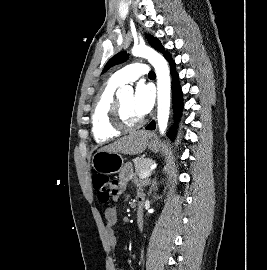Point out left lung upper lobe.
Masks as SVG:
<instances>
[{
  "label": "left lung upper lobe",
  "instance_id": "5c2ea615",
  "mask_svg": "<svg viewBox=\"0 0 267 270\" xmlns=\"http://www.w3.org/2000/svg\"><path fill=\"white\" fill-rule=\"evenodd\" d=\"M148 42L154 49L158 50L159 52L161 53L165 52L164 47L157 38L148 35ZM128 58L129 56L126 53V51H121L117 53L107 62L106 66L104 67L103 73L106 72L110 67L125 62Z\"/></svg>",
  "mask_w": 267,
  "mask_h": 270
}]
</instances>
